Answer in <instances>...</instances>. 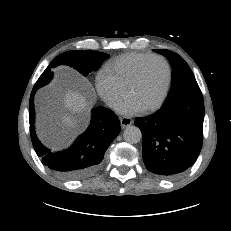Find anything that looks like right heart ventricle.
Instances as JSON below:
<instances>
[{"label": "right heart ventricle", "mask_w": 231, "mask_h": 231, "mask_svg": "<svg viewBox=\"0 0 231 231\" xmlns=\"http://www.w3.org/2000/svg\"><path fill=\"white\" fill-rule=\"evenodd\" d=\"M150 56L147 53H126L108 62L103 69L126 90L138 66Z\"/></svg>", "instance_id": "e07e8e85"}]
</instances>
